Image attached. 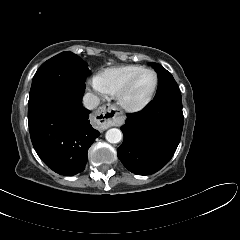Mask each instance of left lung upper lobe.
I'll use <instances>...</instances> for the list:
<instances>
[{
	"label": "left lung upper lobe",
	"mask_w": 240,
	"mask_h": 240,
	"mask_svg": "<svg viewBox=\"0 0 240 240\" xmlns=\"http://www.w3.org/2000/svg\"><path fill=\"white\" fill-rule=\"evenodd\" d=\"M158 74L159 84L154 99L161 97H181L180 90L170 72L157 63H150Z\"/></svg>",
	"instance_id": "1"
}]
</instances>
